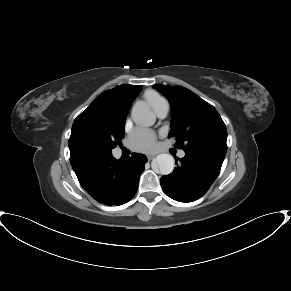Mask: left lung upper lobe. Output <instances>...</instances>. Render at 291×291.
<instances>
[{
	"mask_svg": "<svg viewBox=\"0 0 291 291\" xmlns=\"http://www.w3.org/2000/svg\"><path fill=\"white\" fill-rule=\"evenodd\" d=\"M171 105V132L176 148L219 154L227 151V129L216 109L192 91L181 86L155 84Z\"/></svg>",
	"mask_w": 291,
	"mask_h": 291,
	"instance_id": "1",
	"label": "left lung upper lobe"
}]
</instances>
